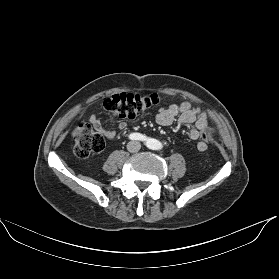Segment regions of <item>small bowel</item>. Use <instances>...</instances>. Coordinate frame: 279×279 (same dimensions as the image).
<instances>
[{"instance_id": "1", "label": "small bowel", "mask_w": 279, "mask_h": 279, "mask_svg": "<svg viewBox=\"0 0 279 279\" xmlns=\"http://www.w3.org/2000/svg\"><path fill=\"white\" fill-rule=\"evenodd\" d=\"M175 120L179 127L190 126V137L192 140L198 141V151L203 152L207 149V143L202 140V136L208 129V117L202 109L193 107L189 102H182L161 108L156 115V122L162 126L170 125ZM90 121L104 137L110 140L124 132L127 126L125 122H120L114 129H107L97 115H92Z\"/></svg>"}]
</instances>
